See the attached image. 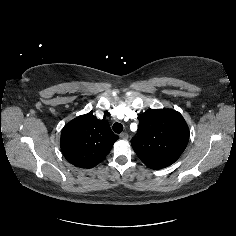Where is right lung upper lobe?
I'll use <instances>...</instances> for the list:
<instances>
[{
	"label": "right lung upper lobe",
	"mask_w": 236,
	"mask_h": 236,
	"mask_svg": "<svg viewBox=\"0 0 236 236\" xmlns=\"http://www.w3.org/2000/svg\"><path fill=\"white\" fill-rule=\"evenodd\" d=\"M118 138L106 120L88 113L65 125L61 132V150L71 164L92 168L105 158Z\"/></svg>",
	"instance_id": "1"
}]
</instances>
